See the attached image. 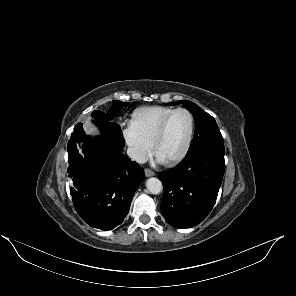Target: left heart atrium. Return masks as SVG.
Segmentation results:
<instances>
[{
  "label": "left heart atrium",
  "mask_w": 296,
  "mask_h": 296,
  "mask_svg": "<svg viewBox=\"0 0 296 296\" xmlns=\"http://www.w3.org/2000/svg\"><path fill=\"white\" fill-rule=\"evenodd\" d=\"M157 160H158L159 162H162V161H161L160 159H158V158H157Z\"/></svg>",
  "instance_id": "39dd6f15"
}]
</instances>
